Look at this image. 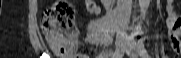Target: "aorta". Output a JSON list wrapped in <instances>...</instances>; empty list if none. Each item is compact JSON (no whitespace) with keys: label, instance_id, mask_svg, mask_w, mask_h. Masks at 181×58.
<instances>
[{"label":"aorta","instance_id":"762f6f07","mask_svg":"<svg viewBox=\"0 0 181 58\" xmlns=\"http://www.w3.org/2000/svg\"><path fill=\"white\" fill-rule=\"evenodd\" d=\"M149 4H150V0H139L141 18L143 19L145 18V14H146Z\"/></svg>","mask_w":181,"mask_h":58}]
</instances>
